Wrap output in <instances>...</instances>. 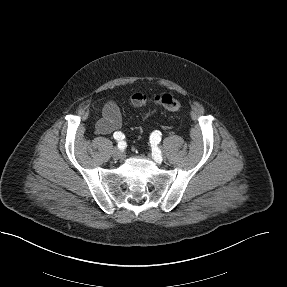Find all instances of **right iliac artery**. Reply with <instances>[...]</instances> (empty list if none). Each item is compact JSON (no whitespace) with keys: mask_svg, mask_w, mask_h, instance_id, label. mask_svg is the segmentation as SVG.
Wrapping results in <instances>:
<instances>
[{"mask_svg":"<svg viewBox=\"0 0 287 287\" xmlns=\"http://www.w3.org/2000/svg\"><path fill=\"white\" fill-rule=\"evenodd\" d=\"M124 137H125L124 134L121 133V132H115V133H114V138H115L117 141H119V142H118V148H119L120 150H123V149H125V147H126V142L123 141Z\"/></svg>","mask_w":287,"mask_h":287,"instance_id":"right-iliac-artery-1","label":"right iliac artery"}]
</instances>
